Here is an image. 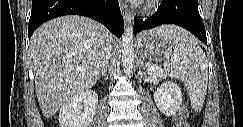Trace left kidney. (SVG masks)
<instances>
[{
	"label": "left kidney",
	"mask_w": 243,
	"mask_h": 127,
	"mask_svg": "<svg viewBox=\"0 0 243 127\" xmlns=\"http://www.w3.org/2000/svg\"><path fill=\"white\" fill-rule=\"evenodd\" d=\"M154 101L164 115H175L182 104L181 89L174 82H164L155 91Z\"/></svg>",
	"instance_id": "left-kidney-1"
}]
</instances>
